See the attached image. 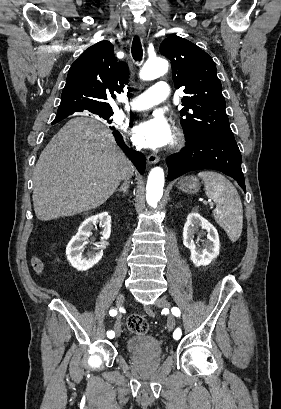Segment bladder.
Wrapping results in <instances>:
<instances>
[{"label":"bladder","instance_id":"obj_1","mask_svg":"<svg viewBox=\"0 0 281 409\" xmlns=\"http://www.w3.org/2000/svg\"><path fill=\"white\" fill-rule=\"evenodd\" d=\"M123 351L131 355H162V341L149 333L135 334L123 344Z\"/></svg>","mask_w":281,"mask_h":409}]
</instances>
